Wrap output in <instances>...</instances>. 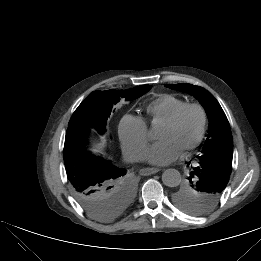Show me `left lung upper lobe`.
Returning a JSON list of instances; mask_svg holds the SVG:
<instances>
[{
  "label": "left lung upper lobe",
  "mask_w": 261,
  "mask_h": 261,
  "mask_svg": "<svg viewBox=\"0 0 261 261\" xmlns=\"http://www.w3.org/2000/svg\"><path fill=\"white\" fill-rule=\"evenodd\" d=\"M166 87L193 95L209 119L203 150L196 156V164L191 165L189 178L172 194L173 202L181 210L203 215L216 206L229 181L233 157L230 125L220 104L206 89L191 84H167Z\"/></svg>",
  "instance_id": "obj_1"
}]
</instances>
